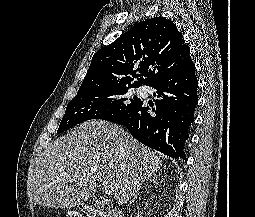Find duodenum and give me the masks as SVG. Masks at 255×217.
<instances>
[{
	"label": "duodenum",
	"instance_id": "1",
	"mask_svg": "<svg viewBox=\"0 0 255 217\" xmlns=\"http://www.w3.org/2000/svg\"><path fill=\"white\" fill-rule=\"evenodd\" d=\"M82 209L88 217H124L122 212L117 209L112 210H99L91 206L85 205L82 206Z\"/></svg>",
	"mask_w": 255,
	"mask_h": 217
}]
</instances>
